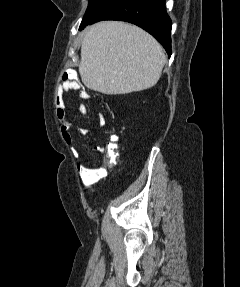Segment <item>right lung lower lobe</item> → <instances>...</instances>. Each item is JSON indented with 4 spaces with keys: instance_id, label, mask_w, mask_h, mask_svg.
I'll return each instance as SVG.
<instances>
[{
    "instance_id": "right-lung-lower-lobe-1",
    "label": "right lung lower lobe",
    "mask_w": 240,
    "mask_h": 287,
    "mask_svg": "<svg viewBox=\"0 0 240 287\" xmlns=\"http://www.w3.org/2000/svg\"><path fill=\"white\" fill-rule=\"evenodd\" d=\"M119 20L140 26L154 36L171 55V20L165 0H109L89 24Z\"/></svg>"
}]
</instances>
